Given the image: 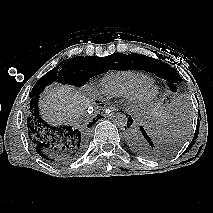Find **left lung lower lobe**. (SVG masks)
<instances>
[{"instance_id": "0a47b994", "label": "left lung lower lobe", "mask_w": 213, "mask_h": 213, "mask_svg": "<svg viewBox=\"0 0 213 213\" xmlns=\"http://www.w3.org/2000/svg\"><path fill=\"white\" fill-rule=\"evenodd\" d=\"M133 119L129 116L127 127L130 128L127 132V141L129 146L139 155L144 157L156 158L162 155L163 150L160 144L157 143L153 134L148 132L142 126L131 127ZM126 130V129H125Z\"/></svg>"}]
</instances>
